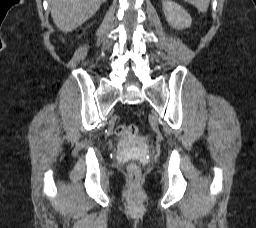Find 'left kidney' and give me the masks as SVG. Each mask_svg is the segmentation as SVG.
I'll return each instance as SVG.
<instances>
[{"mask_svg": "<svg viewBox=\"0 0 256 228\" xmlns=\"http://www.w3.org/2000/svg\"><path fill=\"white\" fill-rule=\"evenodd\" d=\"M162 5L166 20L173 28L182 30L191 26L192 18L179 4L165 0Z\"/></svg>", "mask_w": 256, "mask_h": 228, "instance_id": "5707ae66", "label": "left kidney"}]
</instances>
